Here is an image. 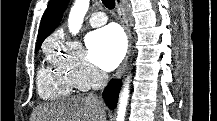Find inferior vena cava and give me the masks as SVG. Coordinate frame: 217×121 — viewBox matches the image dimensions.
<instances>
[{
    "label": "inferior vena cava",
    "mask_w": 217,
    "mask_h": 121,
    "mask_svg": "<svg viewBox=\"0 0 217 121\" xmlns=\"http://www.w3.org/2000/svg\"><path fill=\"white\" fill-rule=\"evenodd\" d=\"M108 82V75L104 72H97L92 81V88L94 90H102ZM90 98L97 99L93 94L89 95Z\"/></svg>",
    "instance_id": "1"
}]
</instances>
